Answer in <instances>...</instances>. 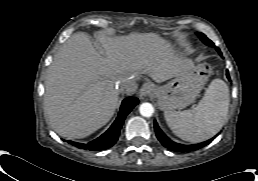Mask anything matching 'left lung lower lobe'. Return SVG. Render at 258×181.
Masks as SVG:
<instances>
[{"mask_svg": "<svg viewBox=\"0 0 258 181\" xmlns=\"http://www.w3.org/2000/svg\"><path fill=\"white\" fill-rule=\"evenodd\" d=\"M226 75H227V78L230 80L228 70L226 72ZM154 129L156 132V136H157L158 140L162 143V145L175 152H190V151L198 150V149L208 145L216 137L215 136L208 141H205V142L199 143V144H195V145H182V144H179V143H176V142H173L172 140H170L158 127L156 121H154Z\"/></svg>", "mask_w": 258, "mask_h": 181, "instance_id": "obj_1", "label": "left lung lower lobe"}]
</instances>
